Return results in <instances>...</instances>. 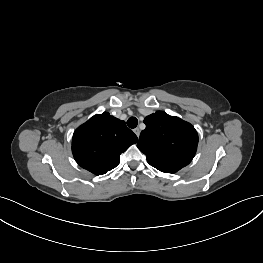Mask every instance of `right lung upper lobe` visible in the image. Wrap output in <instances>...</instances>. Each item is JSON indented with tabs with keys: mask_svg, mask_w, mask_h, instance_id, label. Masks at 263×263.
I'll return each mask as SVG.
<instances>
[{
	"mask_svg": "<svg viewBox=\"0 0 263 263\" xmlns=\"http://www.w3.org/2000/svg\"><path fill=\"white\" fill-rule=\"evenodd\" d=\"M137 141V136L124 121L104 112L75 130L72 152L82 168L102 175L115 168L120 154Z\"/></svg>",
	"mask_w": 263,
	"mask_h": 263,
	"instance_id": "obj_1",
	"label": "right lung upper lobe"
}]
</instances>
